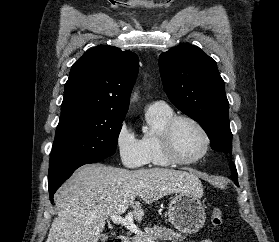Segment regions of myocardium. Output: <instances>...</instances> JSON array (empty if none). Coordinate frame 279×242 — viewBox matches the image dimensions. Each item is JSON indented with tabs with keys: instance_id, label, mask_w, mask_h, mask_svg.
Here are the masks:
<instances>
[{
	"instance_id": "f54148a6",
	"label": "myocardium",
	"mask_w": 279,
	"mask_h": 242,
	"mask_svg": "<svg viewBox=\"0 0 279 242\" xmlns=\"http://www.w3.org/2000/svg\"><path fill=\"white\" fill-rule=\"evenodd\" d=\"M180 121H187L193 124L203 136V140H204L203 151L195 158L183 159L177 154L175 150L174 143H173V132L176 124ZM160 140H161L162 150L166 158L172 164L184 165V166L192 165L202 160L207 155L211 143L209 134L205 129V127L197 119L188 115H174L173 117H171L162 129Z\"/></svg>"
}]
</instances>
